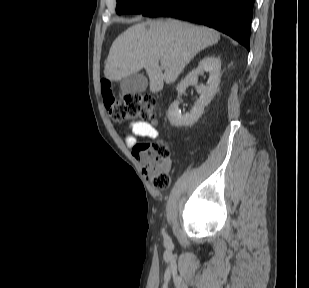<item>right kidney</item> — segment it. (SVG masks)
I'll list each match as a JSON object with an SVG mask.
<instances>
[{
  "mask_svg": "<svg viewBox=\"0 0 309 288\" xmlns=\"http://www.w3.org/2000/svg\"><path fill=\"white\" fill-rule=\"evenodd\" d=\"M221 62L213 56L205 57L200 61L197 68L192 70L177 86L178 98L185 92L189 85H195L200 93L199 100L195 103L190 113L184 115L179 110V101L173 102L168 109L170 123L177 127L189 126L197 122L202 116L204 108L211 102L217 92L220 83ZM203 72L209 73L207 85H197L198 75Z\"/></svg>",
  "mask_w": 309,
  "mask_h": 288,
  "instance_id": "right-kidney-1",
  "label": "right kidney"
}]
</instances>
